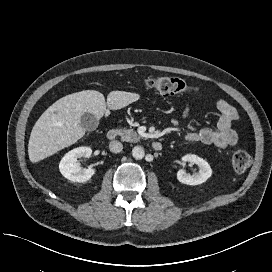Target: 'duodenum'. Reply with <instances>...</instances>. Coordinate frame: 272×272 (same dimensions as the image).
Returning a JSON list of instances; mask_svg holds the SVG:
<instances>
[{"label":"duodenum","instance_id":"1","mask_svg":"<svg viewBox=\"0 0 272 272\" xmlns=\"http://www.w3.org/2000/svg\"><path fill=\"white\" fill-rule=\"evenodd\" d=\"M116 137H117V131H116V129H110V130H108V132H107V138L109 140H111V141L115 140ZM151 146L156 151H160L163 148V145H162V143L160 141H153L152 144H151Z\"/></svg>","mask_w":272,"mask_h":272}]
</instances>
